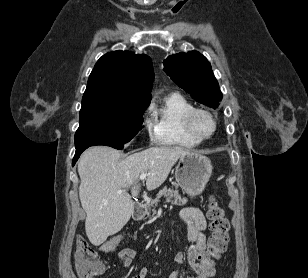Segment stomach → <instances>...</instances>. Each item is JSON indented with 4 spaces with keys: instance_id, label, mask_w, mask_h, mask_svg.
<instances>
[{
    "instance_id": "stomach-1",
    "label": "stomach",
    "mask_w": 308,
    "mask_h": 278,
    "mask_svg": "<svg viewBox=\"0 0 308 278\" xmlns=\"http://www.w3.org/2000/svg\"><path fill=\"white\" fill-rule=\"evenodd\" d=\"M211 174V161L206 156L194 152L181 156L175 168L178 185L191 197L202 193Z\"/></svg>"
}]
</instances>
